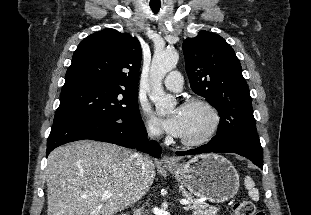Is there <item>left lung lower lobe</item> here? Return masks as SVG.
Returning <instances> with one entry per match:
<instances>
[{
	"label": "left lung lower lobe",
	"instance_id": "0a47b994",
	"mask_svg": "<svg viewBox=\"0 0 311 215\" xmlns=\"http://www.w3.org/2000/svg\"><path fill=\"white\" fill-rule=\"evenodd\" d=\"M219 152L237 153L251 160L258 167L263 166V150L256 131H239L220 139L213 138L206 145L188 151L176 152L179 156Z\"/></svg>",
	"mask_w": 311,
	"mask_h": 215
}]
</instances>
